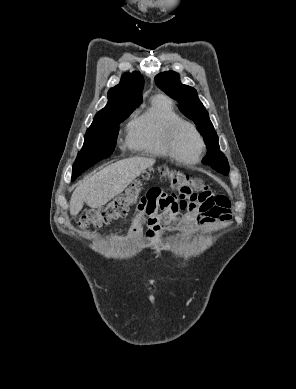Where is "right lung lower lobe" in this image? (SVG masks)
Instances as JSON below:
<instances>
[{
  "label": "right lung lower lobe",
  "instance_id": "1",
  "mask_svg": "<svg viewBox=\"0 0 296 389\" xmlns=\"http://www.w3.org/2000/svg\"><path fill=\"white\" fill-rule=\"evenodd\" d=\"M92 165H83L78 168H73L72 170V181L75 180L82 172L90 168Z\"/></svg>",
  "mask_w": 296,
  "mask_h": 389
}]
</instances>
